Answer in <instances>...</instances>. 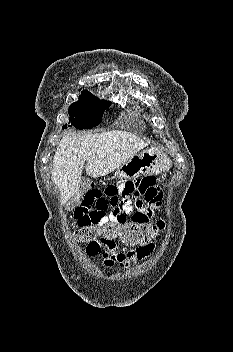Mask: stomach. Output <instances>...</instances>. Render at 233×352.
Instances as JSON below:
<instances>
[{
	"label": "stomach",
	"instance_id": "stomach-1",
	"mask_svg": "<svg viewBox=\"0 0 233 352\" xmlns=\"http://www.w3.org/2000/svg\"><path fill=\"white\" fill-rule=\"evenodd\" d=\"M170 165L171 161L163 151L156 147H149L117 168L115 177L132 180L141 175L160 174L167 171Z\"/></svg>",
	"mask_w": 233,
	"mask_h": 352
}]
</instances>
